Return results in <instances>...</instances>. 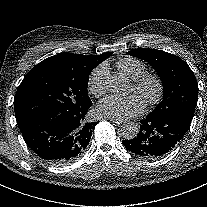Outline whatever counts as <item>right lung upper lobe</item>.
Here are the masks:
<instances>
[{
	"label": "right lung upper lobe",
	"mask_w": 207,
	"mask_h": 207,
	"mask_svg": "<svg viewBox=\"0 0 207 207\" xmlns=\"http://www.w3.org/2000/svg\"><path fill=\"white\" fill-rule=\"evenodd\" d=\"M113 52H107L96 56H85L81 54H68L55 55L43 60V63H64L71 65L78 70L90 72L102 61L109 58Z\"/></svg>",
	"instance_id": "cb5924a9"
}]
</instances>
